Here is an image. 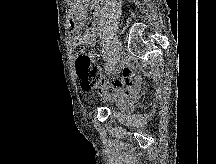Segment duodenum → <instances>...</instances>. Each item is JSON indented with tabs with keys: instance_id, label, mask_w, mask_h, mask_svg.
Listing matches in <instances>:
<instances>
[{
	"instance_id": "duodenum-1",
	"label": "duodenum",
	"mask_w": 216,
	"mask_h": 164,
	"mask_svg": "<svg viewBox=\"0 0 216 164\" xmlns=\"http://www.w3.org/2000/svg\"><path fill=\"white\" fill-rule=\"evenodd\" d=\"M103 0H93L92 2V13L94 15H99L102 9Z\"/></svg>"
}]
</instances>
